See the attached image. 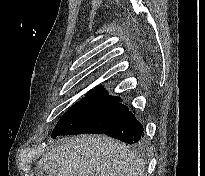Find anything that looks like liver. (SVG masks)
<instances>
[{
	"label": "liver",
	"instance_id": "obj_1",
	"mask_svg": "<svg viewBox=\"0 0 205 176\" xmlns=\"http://www.w3.org/2000/svg\"><path fill=\"white\" fill-rule=\"evenodd\" d=\"M38 166L46 176H144L143 160L104 135L64 137Z\"/></svg>",
	"mask_w": 205,
	"mask_h": 176
}]
</instances>
